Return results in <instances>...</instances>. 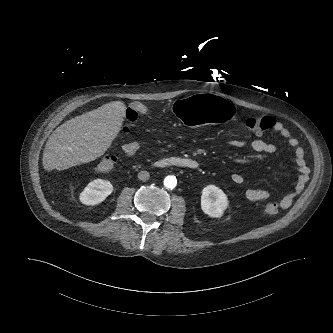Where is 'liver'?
Here are the masks:
<instances>
[{
  "instance_id": "liver-1",
  "label": "liver",
  "mask_w": 333,
  "mask_h": 333,
  "mask_svg": "<svg viewBox=\"0 0 333 333\" xmlns=\"http://www.w3.org/2000/svg\"><path fill=\"white\" fill-rule=\"evenodd\" d=\"M126 106L113 101L66 121L46 142L43 167L65 170L102 156L122 127Z\"/></svg>"
}]
</instances>
